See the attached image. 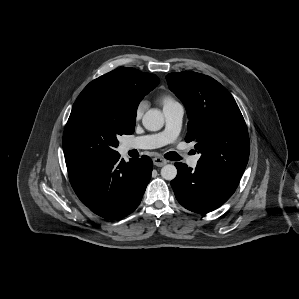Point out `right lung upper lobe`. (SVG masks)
Instances as JSON below:
<instances>
[{"instance_id":"right-lung-upper-lobe-1","label":"right lung upper lobe","mask_w":299,"mask_h":299,"mask_svg":"<svg viewBox=\"0 0 299 299\" xmlns=\"http://www.w3.org/2000/svg\"><path fill=\"white\" fill-rule=\"evenodd\" d=\"M159 84V78L151 73L134 68H120L90 82L87 86H97L117 93L125 102L128 111L135 112L142 98Z\"/></svg>"}]
</instances>
